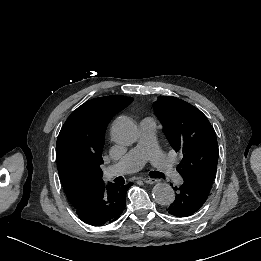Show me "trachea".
Masks as SVG:
<instances>
[{
    "label": "trachea",
    "instance_id": "1",
    "mask_svg": "<svg viewBox=\"0 0 261 261\" xmlns=\"http://www.w3.org/2000/svg\"><path fill=\"white\" fill-rule=\"evenodd\" d=\"M150 177L152 178H164L165 174L159 171H151L150 172Z\"/></svg>",
    "mask_w": 261,
    "mask_h": 261
}]
</instances>
